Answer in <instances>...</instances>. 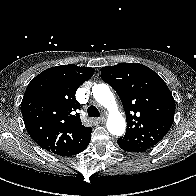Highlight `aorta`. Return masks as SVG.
I'll return each instance as SVG.
<instances>
[{
  "mask_svg": "<svg viewBox=\"0 0 196 196\" xmlns=\"http://www.w3.org/2000/svg\"><path fill=\"white\" fill-rule=\"evenodd\" d=\"M92 93L95 100L109 111L107 120L108 131L115 136L123 135L126 129V122L117 110L115 97L109 86L104 83L95 84L92 87Z\"/></svg>",
  "mask_w": 196,
  "mask_h": 196,
  "instance_id": "aorta-1",
  "label": "aorta"
}]
</instances>
